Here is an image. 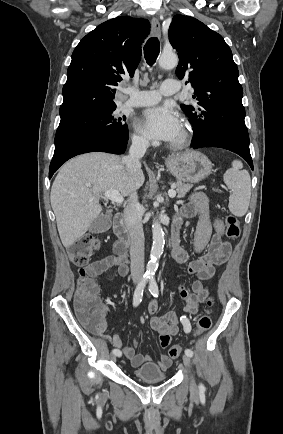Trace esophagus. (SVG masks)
<instances>
[{
    "label": "esophagus",
    "mask_w": 283,
    "mask_h": 434,
    "mask_svg": "<svg viewBox=\"0 0 283 434\" xmlns=\"http://www.w3.org/2000/svg\"><path fill=\"white\" fill-rule=\"evenodd\" d=\"M151 25H152V32L156 37H160L161 36V27H160V22L157 18H152L151 20Z\"/></svg>",
    "instance_id": "obj_1"
}]
</instances>
